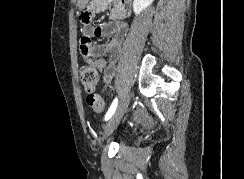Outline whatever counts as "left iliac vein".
I'll use <instances>...</instances> for the list:
<instances>
[{"label":"left iliac vein","instance_id":"1","mask_svg":"<svg viewBox=\"0 0 244 179\" xmlns=\"http://www.w3.org/2000/svg\"><path fill=\"white\" fill-rule=\"evenodd\" d=\"M130 91L127 92L122 98L118 108L115 110L109 121L106 123L103 132V139L106 140L115 130L119 122L121 121L124 113L127 111L130 99H131Z\"/></svg>","mask_w":244,"mask_h":179}]
</instances>
